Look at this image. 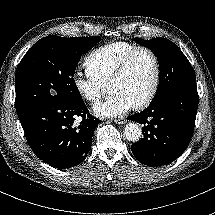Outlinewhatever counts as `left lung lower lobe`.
<instances>
[{"label":"left lung lower lobe","mask_w":215,"mask_h":215,"mask_svg":"<svg viewBox=\"0 0 215 215\" xmlns=\"http://www.w3.org/2000/svg\"><path fill=\"white\" fill-rule=\"evenodd\" d=\"M197 108V86L192 82L167 92L144 111L128 117L145 125L144 137L131 145L137 160L155 167L178 158L191 141Z\"/></svg>","instance_id":"left-lung-lower-lobe-1"}]
</instances>
